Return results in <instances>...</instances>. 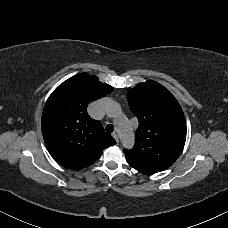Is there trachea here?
<instances>
[{
  "label": "trachea",
  "mask_w": 228,
  "mask_h": 228,
  "mask_svg": "<svg viewBox=\"0 0 228 228\" xmlns=\"http://www.w3.org/2000/svg\"><path fill=\"white\" fill-rule=\"evenodd\" d=\"M114 131V126L112 124L106 125V132L111 134Z\"/></svg>",
  "instance_id": "3493384b"
}]
</instances>
